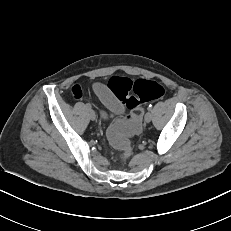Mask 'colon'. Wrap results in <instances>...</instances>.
<instances>
[{"mask_svg":"<svg viewBox=\"0 0 231 231\" xmlns=\"http://www.w3.org/2000/svg\"><path fill=\"white\" fill-rule=\"evenodd\" d=\"M111 93L131 111L129 118L113 126L108 132V140L113 147L122 152L124 158L132 153V146L128 136L140 129L142 118L141 105L162 98L165 87L152 80L138 79L136 81L123 76H113L108 82Z\"/></svg>","mask_w":231,"mask_h":231,"instance_id":"obj_1","label":"colon"}]
</instances>
